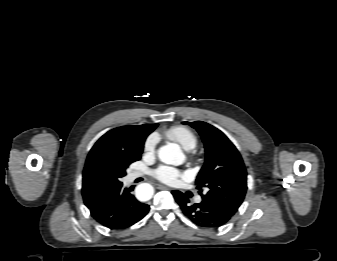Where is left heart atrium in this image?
Here are the masks:
<instances>
[{
    "label": "left heart atrium",
    "instance_id": "1",
    "mask_svg": "<svg viewBox=\"0 0 337 261\" xmlns=\"http://www.w3.org/2000/svg\"><path fill=\"white\" fill-rule=\"evenodd\" d=\"M153 175L159 181L172 185L177 182V180L182 176V173L170 166H160L154 170Z\"/></svg>",
    "mask_w": 337,
    "mask_h": 261
}]
</instances>
